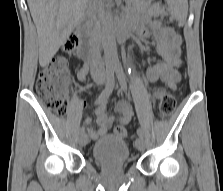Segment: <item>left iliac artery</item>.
Masks as SVG:
<instances>
[{
    "label": "left iliac artery",
    "instance_id": "left-iliac-artery-1",
    "mask_svg": "<svg viewBox=\"0 0 223 191\" xmlns=\"http://www.w3.org/2000/svg\"><path fill=\"white\" fill-rule=\"evenodd\" d=\"M114 69L116 71V74H117V77H118V80L120 82L121 87L126 88V81H125V77H124V74H123L122 66L118 63V64L115 65ZM137 135L139 137H143V131H142L141 128L137 129Z\"/></svg>",
    "mask_w": 223,
    "mask_h": 191
}]
</instances>
